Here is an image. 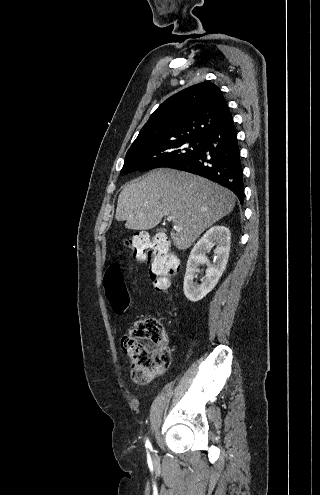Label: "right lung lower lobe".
I'll return each instance as SVG.
<instances>
[{"label": "right lung lower lobe", "instance_id": "right-lung-lower-lobe-1", "mask_svg": "<svg viewBox=\"0 0 320 495\" xmlns=\"http://www.w3.org/2000/svg\"><path fill=\"white\" fill-rule=\"evenodd\" d=\"M171 168L187 171L217 182L244 200L243 167L233 120L203 138L198 152Z\"/></svg>", "mask_w": 320, "mask_h": 495}]
</instances>
